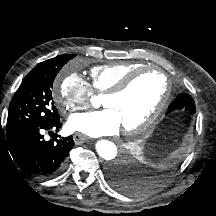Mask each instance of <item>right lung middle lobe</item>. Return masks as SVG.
<instances>
[{"instance_id": "obj_1", "label": "right lung middle lobe", "mask_w": 216, "mask_h": 216, "mask_svg": "<svg viewBox=\"0 0 216 216\" xmlns=\"http://www.w3.org/2000/svg\"><path fill=\"white\" fill-rule=\"evenodd\" d=\"M74 56L63 54L46 60L25 77L10 103L6 131L51 124L60 119L51 88L60 69Z\"/></svg>"}]
</instances>
